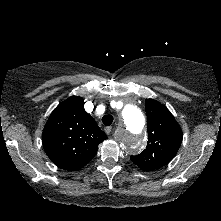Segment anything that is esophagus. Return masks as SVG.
<instances>
[{"mask_svg": "<svg viewBox=\"0 0 221 221\" xmlns=\"http://www.w3.org/2000/svg\"><path fill=\"white\" fill-rule=\"evenodd\" d=\"M104 131H105L106 134H110L111 131H112V127L111 126L105 127Z\"/></svg>", "mask_w": 221, "mask_h": 221, "instance_id": "1", "label": "esophagus"}]
</instances>
